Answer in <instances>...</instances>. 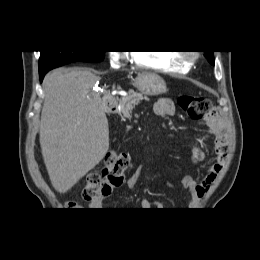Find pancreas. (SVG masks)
Returning <instances> with one entry per match:
<instances>
[{"mask_svg":"<svg viewBox=\"0 0 260 260\" xmlns=\"http://www.w3.org/2000/svg\"><path fill=\"white\" fill-rule=\"evenodd\" d=\"M142 100L148 101L149 99L146 96H143L141 93H137L134 91H129L127 96L122 97L119 100V104L120 112L122 113L123 117L131 119L132 110Z\"/></svg>","mask_w":260,"mask_h":260,"instance_id":"1","label":"pancreas"}]
</instances>
